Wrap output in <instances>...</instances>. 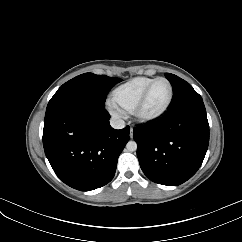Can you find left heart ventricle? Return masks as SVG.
<instances>
[{"mask_svg":"<svg viewBox=\"0 0 242 242\" xmlns=\"http://www.w3.org/2000/svg\"><path fill=\"white\" fill-rule=\"evenodd\" d=\"M170 89L165 81H157L151 88L145 104L142 108V114L152 115L160 111L169 98Z\"/></svg>","mask_w":242,"mask_h":242,"instance_id":"b2bd125f","label":"left heart ventricle"}]
</instances>
